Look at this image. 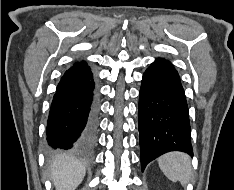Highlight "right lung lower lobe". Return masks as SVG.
<instances>
[{
	"instance_id": "right-lung-lower-lobe-1",
	"label": "right lung lower lobe",
	"mask_w": 234,
	"mask_h": 190,
	"mask_svg": "<svg viewBox=\"0 0 234 190\" xmlns=\"http://www.w3.org/2000/svg\"><path fill=\"white\" fill-rule=\"evenodd\" d=\"M93 75L87 63L78 62L62 76L53 97L47 128L52 149H78L93 143L97 103Z\"/></svg>"
}]
</instances>
